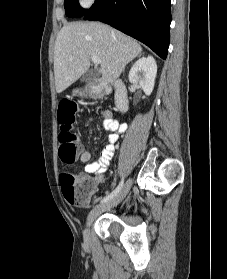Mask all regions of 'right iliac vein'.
I'll list each match as a JSON object with an SVG mask.
<instances>
[{
	"label": "right iliac vein",
	"mask_w": 227,
	"mask_h": 279,
	"mask_svg": "<svg viewBox=\"0 0 227 279\" xmlns=\"http://www.w3.org/2000/svg\"><path fill=\"white\" fill-rule=\"evenodd\" d=\"M131 186H132V179L130 178L127 180V182L125 183L123 188L120 190V192L114 198L94 207L90 211V213L87 217L85 229L83 232L84 240L86 242H89V240H90V226H91L92 222L94 221V219L102 212L109 210L110 208L118 205L126 197V195L128 194V192L131 189Z\"/></svg>",
	"instance_id": "right-iliac-vein-1"
}]
</instances>
